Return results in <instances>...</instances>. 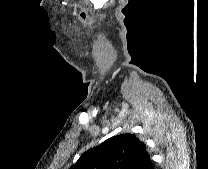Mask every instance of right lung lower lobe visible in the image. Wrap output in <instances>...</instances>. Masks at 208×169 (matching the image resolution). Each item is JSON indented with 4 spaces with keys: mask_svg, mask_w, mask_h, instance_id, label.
<instances>
[{
    "mask_svg": "<svg viewBox=\"0 0 208 169\" xmlns=\"http://www.w3.org/2000/svg\"><path fill=\"white\" fill-rule=\"evenodd\" d=\"M148 169H154L153 164H151Z\"/></svg>",
    "mask_w": 208,
    "mask_h": 169,
    "instance_id": "right-lung-lower-lobe-1",
    "label": "right lung lower lobe"
}]
</instances>
